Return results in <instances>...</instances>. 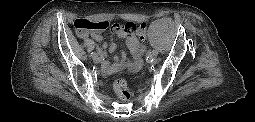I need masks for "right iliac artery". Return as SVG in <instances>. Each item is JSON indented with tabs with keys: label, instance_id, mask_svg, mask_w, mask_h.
<instances>
[{
	"label": "right iliac artery",
	"instance_id": "82829eb1",
	"mask_svg": "<svg viewBox=\"0 0 255 122\" xmlns=\"http://www.w3.org/2000/svg\"><path fill=\"white\" fill-rule=\"evenodd\" d=\"M98 53H100V50H98ZM97 53L96 52H92L91 53V57H93L94 55H96Z\"/></svg>",
	"mask_w": 255,
	"mask_h": 122
}]
</instances>
